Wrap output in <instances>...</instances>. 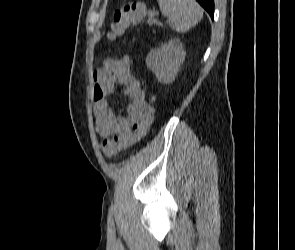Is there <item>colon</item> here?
<instances>
[{"label": "colon", "instance_id": "1", "mask_svg": "<svg viewBox=\"0 0 295 250\" xmlns=\"http://www.w3.org/2000/svg\"><path fill=\"white\" fill-rule=\"evenodd\" d=\"M144 15L145 6L140 2H132L123 9L116 10L112 16L108 37L112 39L124 34L129 27L138 24L143 19ZM153 114L154 108L151 104L143 120L135 126L136 142L147 133L153 121ZM100 147L106 157L115 155L124 149L123 144L118 139L103 140Z\"/></svg>", "mask_w": 295, "mask_h": 250}]
</instances>
